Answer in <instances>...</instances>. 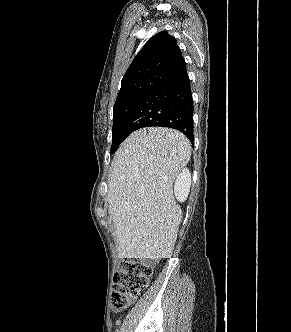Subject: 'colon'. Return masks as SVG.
I'll return each instance as SVG.
<instances>
[{
    "label": "colon",
    "mask_w": 291,
    "mask_h": 332,
    "mask_svg": "<svg viewBox=\"0 0 291 332\" xmlns=\"http://www.w3.org/2000/svg\"><path fill=\"white\" fill-rule=\"evenodd\" d=\"M153 273V267L139 259H124L114 277L111 295L115 311L127 308L143 291Z\"/></svg>",
    "instance_id": "1"
}]
</instances>
